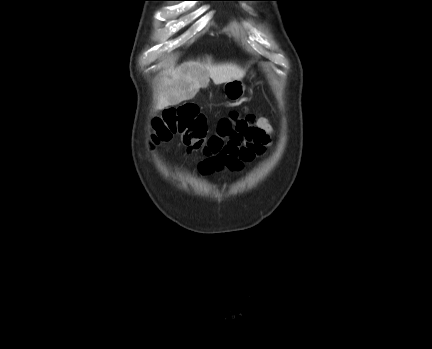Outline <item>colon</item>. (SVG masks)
Returning a JSON list of instances; mask_svg holds the SVG:
<instances>
[{"instance_id":"colon-1","label":"colon","mask_w":432,"mask_h":349,"mask_svg":"<svg viewBox=\"0 0 432 349\" xmlns=\"http://www.w3.org/2000/svg\"><path fill=\"white\" fill-rule=\"evenodd\" d=\"M253 114L231 112L220 119L216 133L208 136L207 119L195 104L169 108L155 118L152 124V142L158 144L173 136H181L189 151H202L205 161L216 163L230 145L244 135L254 124Z\"/></svg>"}]
</instances>
